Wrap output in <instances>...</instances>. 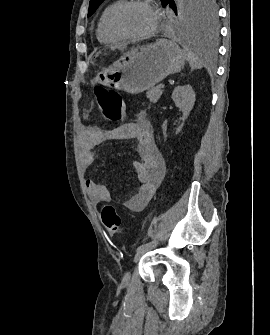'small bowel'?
Returning a JSON list of instances; mask_svg holds the SVG:
<instances>
[{
	"instance_id": "c3829d8e",
	"label": "small bowel",
	"mask_w": 270,
	"mask_h": 335,
	"mask_svg": "<svg viewBox=\"0 0 270 335\" xmlns=\"http://www.w3.org/2000/svg\"><path fill=\"white\" fill-rule=\"evenodd\" d=\"M88 116V112H84ZM103 132L96 126L83 125L80 130L82 142L81 160L89 166L94 163V148L99 144ZM119 139H132L136 141L138 160L132 162V168L141 183L136 191L119 199L120 204L133 212L143 210L153 197L156 189L162 182L165 164L159 156L154 140L153 129L149 121L141 118L135 122L127 123L118 128ZM88 194L94 204L112 201L109 189L92 179L85 181Z\"/></svg>"
}]
</instances>
